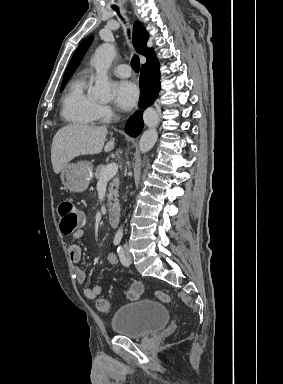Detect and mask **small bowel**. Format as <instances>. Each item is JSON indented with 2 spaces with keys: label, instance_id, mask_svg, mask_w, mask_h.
Instances as JSON below:
<instances>
[{
  "label": "small bowel",
  "instance_id": "c3829d8e",
  "mask_svg": "<svg viewBox=\"0 0 283 384\" xmlns=\"http://www.w3.org/2000/svg\"><path fill=\"white\" fill-rule=\"evenodd\" d=\"M82 236H83V231L81 229L76 230L72 234V238L74 239L81 238ZM68 254L71 261L75 265L74 274L78 284L83 286L84 296L89 300L97 299L98 296L102 293L103 287L102 285H95L93 287L86 286V280H87L86 271L79 266V263L81 262V259H82L81 247L76 244L70 245L68 248ZM107 261L113 265L117 264V258L113 253L108 254ZM135 284H138L142 287L140 283H135Z\"/></svg>",
  "mask_w": 283,
  "mask_h": 384
}]
</instances>
